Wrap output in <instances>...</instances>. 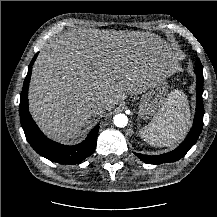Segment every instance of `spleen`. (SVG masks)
Segmentation results:
<instances>
[{
  "label": "spleen",
  "mask_w": 217,
  "mask_h": 217,
  "mask_svg": "<svg viewBox=\"0 0 217 217\" xmlns=\"http://www.w3.org/2000/svg\"><path fill=\"white\" fill-rule=\"evenodd\" d=\"M188 117L183 95L178 91L171 92L151 123L139 134L151 146H171L183 134Z\"/></svg>",
  "instance_id": "1"
}]
</instances>
